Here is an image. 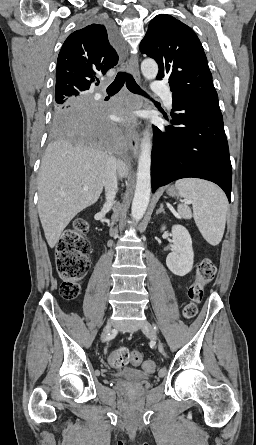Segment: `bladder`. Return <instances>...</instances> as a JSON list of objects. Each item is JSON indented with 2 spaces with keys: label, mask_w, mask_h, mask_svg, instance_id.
<instances>
[{
  "label": "bladder",
  "mask_w": 256,
  "mask_h": 445,
  "mask_svg": "<svg viewBox=\"0 0 256 445\" xmlns=\"http://www.w3.org/2000/svg\"><path fill=\"white\" fill-rule=\"evenodd\" d=\"M115 376L119 379L130 381H146L148 376L133 368H122L115 372Z\"/></svg>",
  "instance_id": "obj_1"
}]
</instances>
